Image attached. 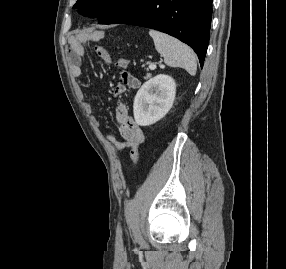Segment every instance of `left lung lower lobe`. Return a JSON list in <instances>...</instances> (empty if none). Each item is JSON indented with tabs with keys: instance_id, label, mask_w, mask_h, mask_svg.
Listing matches in <instances>:
<instances>
[{
	"instance_id": "obj_1",
	"label": "left lung lower lobe",
	"mask_w": 286,
	"mask_h": 269,
	"mask_svg": "<svg viewBox=\"0 0 286 269\" xmlns=\"http://www.w3.org/2000/svg\"><path fill=\"white\" fill-rule=\"evenodd\" d=\"M212 17V0H145L116 23L165 32L188 44L203 66Z\"/></svg>"
}]
</instances>
